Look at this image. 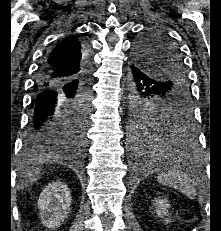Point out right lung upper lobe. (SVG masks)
<instances>
[{"mask_svg": "<svg viewBox=\"0 0 221 231\" xmlns=\"http://www.w3.org/2000/svg\"><path fill=\"white\" fill-rule=\"evenodd\" d=\"M86 56V49L76 37L64 39L42 63L48 71L43 77L44 81L64 84L79 79L84 75Z\"/></svg>", "mask_w": 221, "mask_h": 231, "instance_id": "obj_1", "label": "right lung upper lobe"}]
</instances>
